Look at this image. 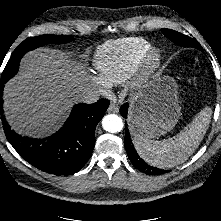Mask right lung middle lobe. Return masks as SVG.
<instances>
[{
	"label": "right lung middle lobe",
	"instance_id": "1",
	"mask_svg": "<svg viewBox=\"0 0 221 221\" xmlns=\"http://www.w3.org/2000/svg\"><path fill=\"white\" fill-rule=\"evenodd\" d=\"M72 40L73 36H67V35L56 36L51 34L27 38L13 52L10 60L8 61L2 73L1 82L6 83L10 78H12L17 73L19 67V61L26 52L48 43L60 44V43H67Z\"/></svg>",
	"mask_w": 221,
	"mask_h": 221
}]
</instances>
